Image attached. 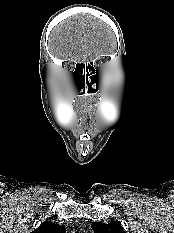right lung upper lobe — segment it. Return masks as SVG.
Listing matches in <instances>:
<instances>
[{"label": "right lung upper lobe", "mask_w": 174, "mask_h": 233, "mask_svg": "<svg viewBox=\"0 0 174 233\" xmlns=\"http://www.w3.org/2000/svg\"><path fill=\"white\" fill-rule=\"evenodd\" d=\"M31 233H65V227L51 222H43Z\"/></svg>", "instance_id": "obj_1"}]
</instances>
